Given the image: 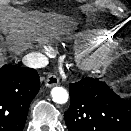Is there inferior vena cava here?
I'll list each match as a JSON object with an SVG mask.
<instances>
[{
    "label": "inferior vena cava",
    "mask_w": 131,
    "mask_h": 131,
    "mask_svg": "<svg viewBox=\"0 0 131 131\" xmlns=\"http://www.w3.org/2000/svg\"><path fill=\"white\" fill-rule=\"evenodd\" d=\"M22 61L30 68H43L48 64V58L41 53H29L23 57Z\"/></svg>",
    "instance_id": "602c4592"
}]
</instances>
